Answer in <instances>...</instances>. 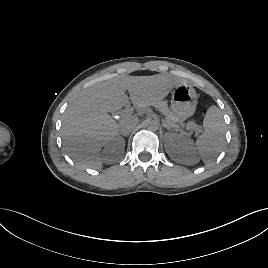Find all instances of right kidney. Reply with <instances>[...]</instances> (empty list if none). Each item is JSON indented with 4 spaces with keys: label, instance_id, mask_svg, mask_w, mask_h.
<instances>
[{
    "label": "right kidney",
    "instance_id": "right-kidney-1",
    "mask_svg": "<svg viewBox=\"0 0 268 268\" xmlns=\"http://www.w3.org/2000/svg\"><path fill=\"white\" fill-rule=\"evenodd\" d=\"M125 151V140L117 137L107 143L102 152V160L104 163L113 164L118 162Z\"/></svg>",
    "mask_w": 268,
    "mask_h": 268
}]
</instances>
